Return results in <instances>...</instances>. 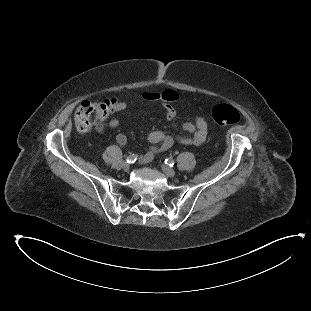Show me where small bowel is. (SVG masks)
I'll list each match as a JSON object with an SVG mask.
<instances>
[{"mask_svg": "<svg viewBox=\"0 0 311 311\" xmlns=\"http://www.w3.org/2000/svg\"><path fill=\"white\" fill-rule=\"evenodd\" d=\"M109 114L118 113L124 111L128 107V102L112 97L105 101ZM165 115L168 119H174L178 115V110L165 103L163 105ZM120 124L119 119L111 118L108 121V125L111 128H117ZM183 130L189 133V136L179 135L172 136L164 132L154 131L148 135V140L152 146L141 156L140 161L142 163L150 162L153 157L161 152H164L171 148L176 142L184 146H198L202 144L207 135V123L202 117H196L192 122H186L182 125ZM99 132H103L104 126L99 124L97 127ZM117 142L120 145L126 144V137L123 134L117 136Z\"/></svg>", "mask_w": 311, "mask_h": 311, "instance_id": "obj_1", "label": "small bowel"}]
</instances>
